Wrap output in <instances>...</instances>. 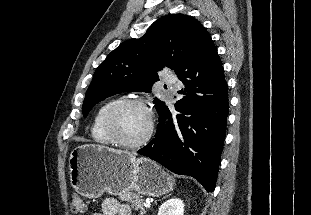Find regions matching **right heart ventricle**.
I'll use <instances>...</instances> for the list:
<instances>
[{"mask_svg":"<svg viewBox=\"0 0 311 215\" xmlns=\"http://www.w3.org/2000/svg\"><path fill=\"white\" fill-rule=\"evenodd\" d=\"M118 101L119 99H110L97 108L91 125V135L95 142L103 145L114 143L105 130L104 121L108 110Z\"/></svg>","mask_w":311,"mask_h":215,"instance_id":"obj_1","label":"right heart ventricle"}]
</instances>
